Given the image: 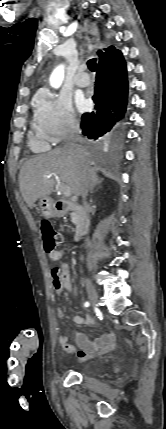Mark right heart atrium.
Wrapping results in <instances>:
<instances>
[{"label":"right heart atrium","instance_id":"d8ad5b80","mask_svg":"<svg viewBox=\"0 0 166 429\" xmlns=\"http://www.w3.org/2000/svg\"><path fill=\"white\" fill-rule=\"evenodd\" d=\"M34 125L48 141L58 143L76 133L80 121L68 97L47 91L36 100Z\"/></svg>","mask_w":166,"mask_h":429}]
</instances>
